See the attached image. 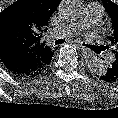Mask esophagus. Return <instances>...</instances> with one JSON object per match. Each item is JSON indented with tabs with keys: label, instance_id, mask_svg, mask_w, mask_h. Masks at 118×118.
Segmentation results:
<instances>
[{
	"label": "esophagus",
	"instance_id": "1",
	"mask_svg": "<svg viewBox=\"0 0 118 118\" xmlns=\"http://www.w3.org/2000/svg\"><path fill=\"white\" fill-rule=\"evenodd\" d=\"M80 49L87 56H93L94 55L93 52L85 46L80 45Z\"/></svg>",
	"mask_w": 118,
	"mask_h": 118
}]
</instances>
